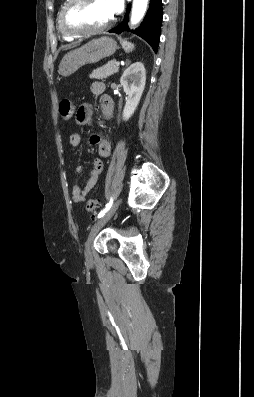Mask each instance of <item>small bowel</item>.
I'll return each mask as SVG.
<instances>
[{
    "instance_id": "obj_1",
    "label": "small bowel",
    "mask_w": 254,
    "mask_h": 397,
    "mask_svg": "<svg viewBox=\"0 0 254 397\" xmlns=\"http://www.w3.org/2000/svg\"><path fill=\"white\" fill-rule=\"evenodd\" d=\"M91 92L100 96V105L102 114L106 119H110L114 112V103L112 98L104 94L105 84L101 81H95L90 86ZM92 106L89 103H83L77 110L76 113V124L83 126L89 125L92 123ZM90 142L94 145H97L98 155L93 162V168L88 173L85 183L83 186L79 184H74L71 189V199L75 203H82L86 200L87 196L91 192V190L95 187L98 182V179L103 171V158H106L110 155L111 152V144L110 142L101 137L99 134H92L90 137ZM69 143L73 147H79L82 144V138L78 133H72L69 137ZM77 173L82 171V166L78 165L76 167Z\"/></svg>"
}]
</instances>
